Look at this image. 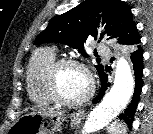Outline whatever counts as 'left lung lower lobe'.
Instances as JSON below:
<instances>
[{
  "instance_id": "1",
  "label": "left lung lower lobe",
  "mask_w": 153,
  "mask_h": 134,
  "mask_svg": "<svg viewBox=\"0 0 153 134\" xmlns=\"http://www.w3.org/2000/svg\"><path fill=\"white\" fill-rule=\"evenodd\" d=\"M140 43V42H139ZM138 43V44H139ZM131 61L133 63V69L135 74V89L133 93L132 100L125 111L119 116V119H123L129 128H131L133 123V118L136 112V108L140 101V94L142 90V77H143V51L141 50L140 45H137L134 51L131 53ZM107 70H103V72L99 75L101 80V91L99 95L93 100V103L99 102L107 90V87L110 86V83L107 82Z\"/></svg>"
}]
</instances>
